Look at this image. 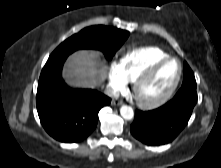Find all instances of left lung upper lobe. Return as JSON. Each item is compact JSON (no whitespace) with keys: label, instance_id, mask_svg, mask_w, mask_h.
Listing matches in <instances>:
<instances>
[{"label":"left lung upper lobe","instance_id":"obj_1","mask_svg":"<svg viewBox=\"0 0 221 168\" xmlns=\"http://www.w3.org/2000/svg\"><path fill=\"white\" fill-rule=\"evenodd\" d=\"M194 84L196 85V80L194 77V73L189 67V65L184 62V79L182 85Z\"/></svg>","mask_w":221,"mask_h":168}]
</instances>
